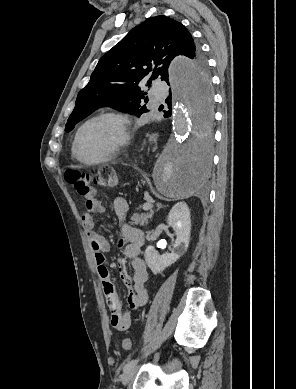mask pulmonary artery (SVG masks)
<instances>
[{
	"label": "pulmonary artery",
	"mask_w": 296,
	"mask_h": 389,
	"mask_svg": "<svg viewBox=\"0 0 296 389\" xmlns=\"http://www.w3.org/2000/svg\"><path fill=\"white\" fill-rule=\"evenodd\" d=\"M152 94L157 103L161 102L166 97V89L161 84H155L152 87Z\"/></svg>",
	"instance_id": "obj_1"
}]
</instances>
